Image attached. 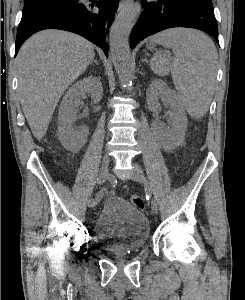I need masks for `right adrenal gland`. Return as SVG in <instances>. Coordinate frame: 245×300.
Instances as JSON below:
<instances>
[{
    "mask_svg": "<svg viewBox=\"0 0 245 300\" xmlns=\"http://www.w3.org/2000/svg\"><path fill=\"white\" fill-rule=\"evenodd\" d=\"M93 62H94L96 65H98V61H97V60L93 59V60H92V63H93Z\"/></svg>",
    "mask_w": 245,
    "mask_h": 300,
    "instance_id": "2a0ac1e0",
    "label": "right adrenal gland"
}]
</instances>
